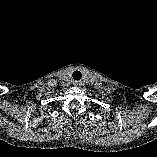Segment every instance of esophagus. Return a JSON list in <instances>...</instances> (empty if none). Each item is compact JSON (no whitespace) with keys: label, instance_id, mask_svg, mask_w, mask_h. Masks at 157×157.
Here are the masks:
<instances>
[{"label":"esophagus","instance_id":"esophagus-1","mask_svg":"<svg viewBox=\"0 0 157 157\" xmlns=\"http://www.w3.org/2000/svg\"><path fill=\"white\" fill-rule=\"evenodd\" d=\"M81 83H82V82H81L80 80H74V81H73V84H74V85H77V86H80Z\"/></svg>","mask_w":157,"mask_h":157}]
</instances>
